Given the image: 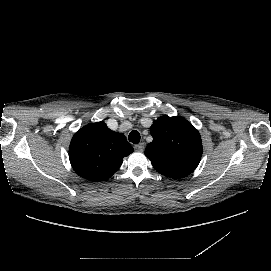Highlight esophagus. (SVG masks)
<instances>
[{"label": "esophagus", "mask_w": 271, "mask_h": 271, "mask_svg": "<svg viewBox=\"0 0 271 271\" xmlns=\"http://www.w3.org/2000/svg\"><path fill=\"white\" fill-rule=\"evenodd\" d=\"M134 149L139 152H143L145 149V143H139L137 145H134Z\"/></svg>", "instance_id": "34e87169"}]
</instances>
